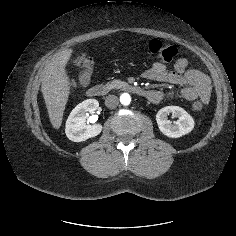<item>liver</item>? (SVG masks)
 Listing matches in <instances>:
<instances>
[{"mask_svg": "<svg viewBox=\"0 0 236 236\" xmlns=\"http://www.w3.org/2000/svg\"><path fill=\"white\" fill-rule=\"evenodd\" d=\"M73 49L59 52L44 69L41 91L45 100L50 122L55 129L62 124L63 113L70 94V79L66 65Z\"/></svg>", "mask_w": 236, "mask_h": 236, "instance_id": "1", "label": "liver"}]
</instances>
